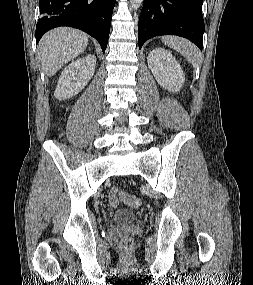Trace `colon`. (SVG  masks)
I'll use <instances>...</instances> for the list:
<instances>
[{"instance_id": "obj_1", "label": "colon", "mask_w": 253, "mask_h": 285, "mask_svg": "<svg viewBox=\"0 0 253 285\" xmlns=\"http://www.w3.org/2000/svg\"><path fill=\"white\" fill-rule=\"evenodd\" d=\"M121 200L132 208H138L141 205V199L136 196L129 195L125 192L120 193ZM122 246L124 248H129L133 244V240L130 237H124L122 240Z\"/></svg>"}]
</instances>
